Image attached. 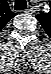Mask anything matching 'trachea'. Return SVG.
Here are the masks:
<instances>
[{"label": "trachea", "mask_w": 51, "mask_h": 74, "mask_svg": "<svg viewBox=\"0 0 51 74\" xmlns=\"http://www.w3.org/2000/svg\"><path fill=\"white\" fill-rule=\"evenodd\" d=\"M14 7L15 10H25L27 9V2L25 0H16Z\"/></svg>", "instance_id": "obj_1"}]
</instances>
